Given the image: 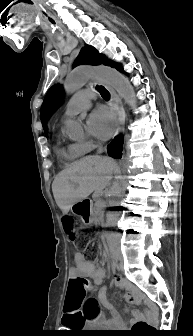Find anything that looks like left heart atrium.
<instances>
[{
  "mask_svg": "<svg viewBox=\"0 0 193 336\" xmlns=\"http://www.w3.org/2000/svg\"><path fill=\"white\" fill-rule=\"evenodd\" d=\"M115 128L113 114L105 109L99 108L93 111L87 119V129L94 137L105 140L110 137Z\"/></svg>",
  "mask_w": 193,
  "mask_h": 336,
  "instance_id": "39dd6f15",
  "label": "left heart atrium"
}]
</instances>
